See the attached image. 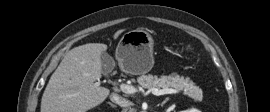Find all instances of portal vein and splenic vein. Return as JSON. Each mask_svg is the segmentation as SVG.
<instances>
[{
  "instance_id": "obj_1",
  "label": "portal vein and splenic vein",
  "mask_w": 270,
  "mask_h": 112,
  "mask_svg": "<svg viewBox=\"0 0 270 112\" xmlns=\"http://www.w3.org/2000/svg\"><path fill=\"white\" fill-rule=\"evenodd\" d=\"M120 89L122 92L126 94H133L137 91V89L134 86L127 85V84H121ZM150 91L152 94L156 96L165 95V94H176L179 92L178 90L172 89V88L160 89V90L157 88H150Z\"/></svg>"
}]
</instances>
